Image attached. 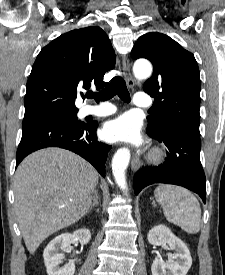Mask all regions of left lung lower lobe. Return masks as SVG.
<instances>
[{"label": "left lung lower lobe", "mask_w": 225, "mask_h": 275, "mask_svg": "<svg viewBox=\"0 0 225 275\" xmlns=\"http://www.w3.org/2000/svg\"><path fill=\"white\" fill-rule=\"evenodd\" d=\"M147 134L164 142L168 148L165 162L144 167L134 177V191L138 193L153 183L183 186L199 194L206 202L205 174L200 162V133L169 128L161 133L147 130Z\"/></svg>", "instance_id": "obj_1"}]
</instances>
